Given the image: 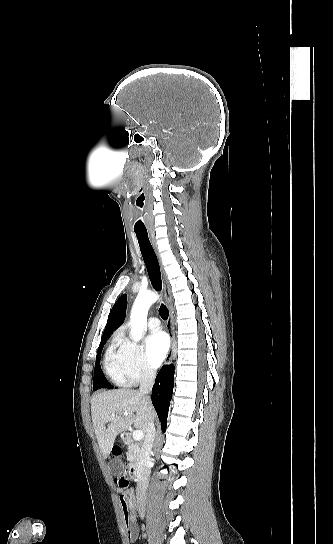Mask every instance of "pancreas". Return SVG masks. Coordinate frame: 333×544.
Instances as JSON below:
<instances>
[{"label":"pancreas","instance_id":"pancreas-1","mask_svg":"<svg viewBox=\"0 0 333 544\" xmlns=\"http://www.w3.org/2000/svg\"><path fill=\"white\" fill-rule=\"evenodd\" d=\"M128 451L126 453L127 455V460L130 462V463H133L134 461L137 460L138 458V454H139V444L136 443V442H133L131 440L128 441Z\"/></svg>","mask_w":333,"mask_h":544}]
</instances>
